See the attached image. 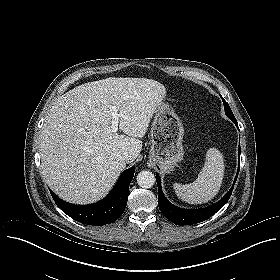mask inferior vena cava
I'll return each instance as SVG.
<instances>
[{"label":"inferior vena cava","instance_id":"obj_1","mask_svg":"<svg viewBox=\"0 0 280 280\" xmlns=\"http://www.w3.org/2000/svg\"><path fill=\"white\" fill-rule=\"evenodd\" d=\"M122 159L127 162L131 159V156L127 152H124L122 155Z\"/></svg>","mask_w":280,"mask_h":280}]
</instances>
